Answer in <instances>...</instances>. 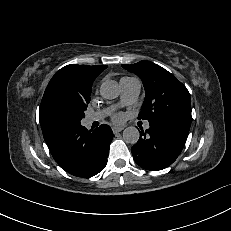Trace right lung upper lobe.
<instances>
[{
  "label": "right lung upper lobe",
  "instance_id": "obj_1",
  "mask_svg": "<svg viewBox=\"0 0 231 231\" xmlns=\"http://www.w3.org/2000/svg\"><path fill=\"white\" fill-rule=\"evenodd\" d=\"M107 68V66H89L70 64L61 68L50 80L39 111V120L44 140L47 144L55 141L68 127L55 120L49 112L51 100L59 95H67L82 101L90 102L91 88L95 78Z\"/></svg>",
  "mask_w": 231,
  "mask_h": 231
}]
</instances>
